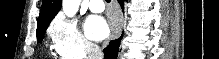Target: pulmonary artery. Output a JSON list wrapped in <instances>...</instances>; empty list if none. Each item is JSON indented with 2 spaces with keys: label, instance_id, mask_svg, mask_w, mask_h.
<instances>
[{
  "label": "pulmonary artery",
  "instance_id": "1",
  "mask_svg": "<svg viewBox=\"0 0 219 59\" xmlns=\"http://www.w3.org/2000/svg\"><path fill=\"white\" fill-rule=\"evenodd\" d=\"M88 7L94 13L103 12L105 9L104 2L102 0H90Z\"/></svg>",
  "mask_w": 219,
  "mask_h": 59
}]
</instances>
